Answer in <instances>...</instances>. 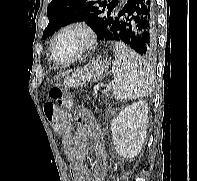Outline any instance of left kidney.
Returning a JSON list of instances; mask_svg holds the SVG:
<instances>
[{
  "label": "left kidney",
  "instance_id": "obj_1",
  "mask_svg": "<svg viewBox=\"0 0 197 181\" xmlns=\"http://www.w3.org/2000/svg\"><path fill=\"white\" fill-rule=\"evenodd\" d=\"M147 114L148 104L141 100L125 107L112 119L110 129L120 156L133 158L141 151L147 133Z\"/></svg>",
  "mask_w": 197,
  "mask_h": 181
}]
</instances>
